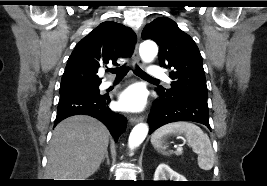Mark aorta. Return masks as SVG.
<instances>
[{"mask_svg":"<svg viewBox=\"0 0 267 186\" xmlns=\"http://www.w3.org/2000/svg\"><path fill=\"white\" fill-rule=\"evenodd\" d=\"M139 53L143 61L151 62L158 53V47L155 42L146 40L141 43ZM149 128L145 123L136 125L130 133L128 145L131 149L138 147L146 138Z\"/></svg>","mask_w":267,"mask_h":186,"instance_id":"obj_1","label":"aorta"}]
</instances>
